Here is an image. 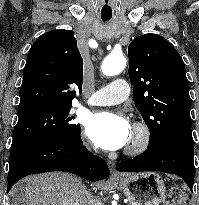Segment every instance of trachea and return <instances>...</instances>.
<instances>
[{"instance_id": "obj_1", "label": "trachea", "mask_w": 199, "mask_h": 205, "mask_svg": "<svg viewBox=\"0 0 199 205\" xmlns=\"http://www.w3.org/2000/svg\"><path fill=\"white\" fill-rule=\"evenodd\" d=\"M101 19L103 20V21H108V20H110L111 19V17H101Z\"/></svg>"}]
</instances>
